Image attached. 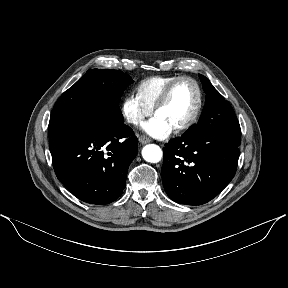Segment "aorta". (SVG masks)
<instances>
[{"instance_id":"obj_1","label":"aorta","mask_w":288,"mask_h":288,"mask_svg":"<svg viewBox=\"0 0 288 288\" xmlns=\"http://www.w3.org/2000/svg\"><path fill=\"white\" fill-rule=\"evenodd\" d=\"M142 156L145 161L158 163L163 156L161 148L156 144H148L142 149Z\"/></svg>"}]
</instances>
